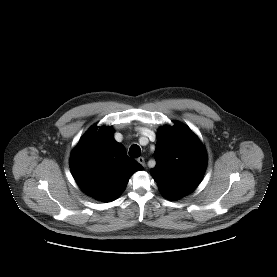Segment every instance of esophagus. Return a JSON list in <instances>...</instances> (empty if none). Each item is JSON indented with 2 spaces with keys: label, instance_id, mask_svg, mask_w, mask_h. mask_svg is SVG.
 I'll return each mask as SVG.
<instances>
[{
  "label": "esophagus",
  "instance_id": "esophagus-1",
  "mask_svg": "<svg viewBox=\"0 0 277 277\" xmlns=\"http://www.w3.org/2000/svg\"><path fill=\"white\" fill-rule=\"evenodd\" d=\"M137 161H138L142 166H145V160H144L143 157H139V158L137 159Z\"/></svg>",
  "mask_w": 277,
  "mask_h": 277
}]
</instances>
